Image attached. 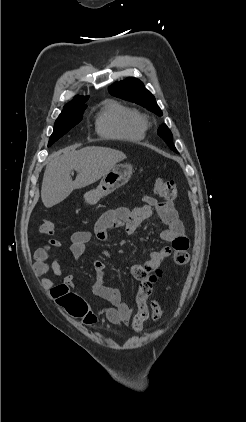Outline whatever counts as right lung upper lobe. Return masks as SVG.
Listing matches in <instances>:
<instances>
[{"mask_svg": "<svg viewBox=\"0 0 246 422\" xmlns=\"http://www.w3.org/2000/svg\"><path fill=\"white\" fill-rule=\"evenodd\" d=\"M87 99L88 97L76 96L71 102L66 104L65 107L86 106L84 105V102L87 101Z\"/></svg>", "mask_w": 246, "mask_h": 422, "instance_id": "cb5924a9", "label": "right lung upper lobe"}]
</instances>
